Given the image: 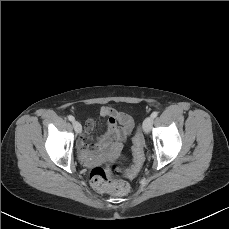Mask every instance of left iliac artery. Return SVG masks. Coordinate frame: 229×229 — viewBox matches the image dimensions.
I'll use <instances>...</instances> for the list:
<instances>
[{
    "mask_svg": "<svg viewBox=\"0 0 229 229\" xmlns=\"http://www.w3.org/2000/svg\"><path fill=\"white\" fill-rule=\"evenodd\" d=\"M157 115H158V112H157V111H154V112L151 114V117L155 118V117H157Z\"/></svg>",
    "mask_w": 229,
    "mask_h": 229,
    "instance_id": "1",
    "label": "left iliac artery"
}]
</instances>
